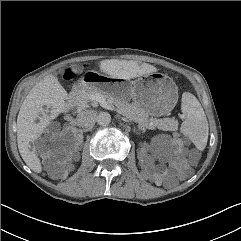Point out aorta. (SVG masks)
<instances>
[{
  "mask_svg": "<svg viewBox=\"0 0 241 241\" xmlns=\"http://www.w3.org/2000/svg\"><path fill=\"white\" fill-rule=\"evenodd\" d=\"M111 120L112 117L108 112H101L96 117V121L100 126H108Z\"/></svg>",
  "mask_w": 241,
  "mask_h": 241,
  "instance_id": "aorta-1",
  "label": "aorta"
}]
</instances>
